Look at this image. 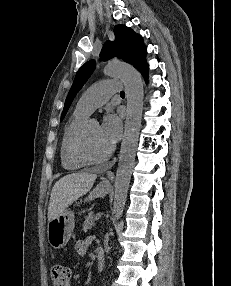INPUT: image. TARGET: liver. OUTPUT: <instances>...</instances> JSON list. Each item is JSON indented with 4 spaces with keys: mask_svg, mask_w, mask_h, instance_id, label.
<instances>
[{
    "mask_svg": "<svg viewBox=\"0 0 231 286\" xmlns=\"http://www.w3.org/2000/svg\"><path fill=\"white\" fill-rule=\"evenodd\" d=\"M96 178L95 174L78 172L59 179L51 191L48 221L58 217L69 205L90 191Z\"/></svg>",
    "mask_w": 231,
    "mask_h": 286,
    "instance_id": "1",
    "label": "liver"
}]
</instances>
